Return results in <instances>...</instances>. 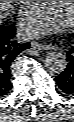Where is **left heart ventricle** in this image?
<instances>
[{"mask_svg": "<svg viewBox=\"0 0 74 122\" xmlns=\"http://www.w3.org/2000/svg\"><path fill=\"white\" fill-rule=\"evenodd\" d=\"M45 3L50 6L58 16L65 20H70L73 1H45Z\"/></svg>", "mask_w": 74, "mask_h": 122, "instance_id": "left-heart-ventricle-1", "label": "left heart ventricle"}]
</instances>
